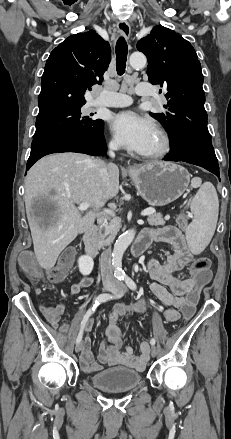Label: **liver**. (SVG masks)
Masks as SVG:
<instances>
[{"mask_svg": "<svg viewBox=\"0 0 231 439\" xmlns=\"http://www.w3.org/2000/svg\"><path fill=\"white\" fill-rule=\"evenodd\" d=\"M100 160L79 153H56L43 157L28 171L25 179V205L39 265L45 270L54 267L59 254L78 234L94 224L100 208L119 191V169L108 168L105 185L100 175ZM53 205L48 214L33 210L35 200ZM90 204L84 216L76 207ZM37 212V214H36Z\"/></svg>", "mask_w": 231, "mask_h": 439, "instance_id": "obj_1", "label": "liver"}]
</instances>
